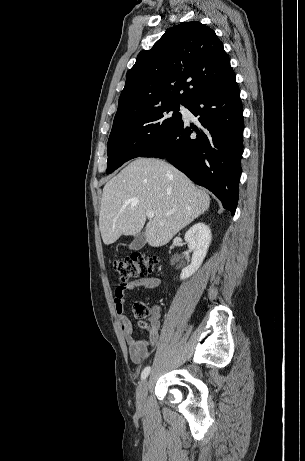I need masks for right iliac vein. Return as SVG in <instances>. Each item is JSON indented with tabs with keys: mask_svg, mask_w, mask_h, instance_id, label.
Instances as JSON below:
<instances>
[{
	"mask_svg": "<svg viewBox=\"0 0 305 461\" xmlns=\"http://www.w3.org/2000/svg\"><path fill=\"white\" fill-rule=\"evenodd\" d=\"M148 391V380H143L136 391V405L139 410H142L146 404Z\"/></svg>",
	"mask_w": 305,
	"mask_h": 461,
	"instance_id": "63e3f726",
	"label": "right iliac vein"
}]
</instances>
